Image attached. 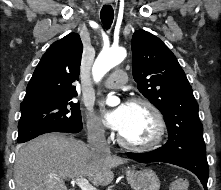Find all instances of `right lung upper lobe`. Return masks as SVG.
I'll return each mask as SVG.
<instances>
[{"label": "right lung upper lobe", "instance_id": "cb5924a9", "mask_svg": "<svg viewBox=\"0 0 221 190\" xmlns=\"http://www.w3.org/2000/svg\"><path fill=\"white\" fill-rule=\"evenodd\" d=\"M83 46L77 33L54 42L37 65L22 105L77 96Z\"/></svg>", "mask_w": 221, "mask_h": 190}]
</instances>
